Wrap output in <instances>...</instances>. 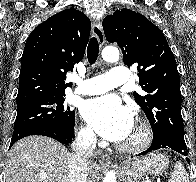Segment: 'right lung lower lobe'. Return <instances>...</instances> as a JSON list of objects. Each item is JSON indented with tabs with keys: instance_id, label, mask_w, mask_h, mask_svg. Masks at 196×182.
<instances>
[{
	"instance_id": "98d812e1",
	"label": "right lung lower lobe",
	"mask_w": 196,
	"mask_h": 182,
	"mask_svg": "<svg viewBox=\"0 0 196 182\" xmlns=\"http://www.w3.org/2000/svg\"><path fill=\"white\" fill-rule=\"evenodd\" d=\"M29 135L48 136L69 145L74 138V127L69 128L56 123L37 122L14 129L10 147L19 139Z\"/></svg>"
}]
</instances>
